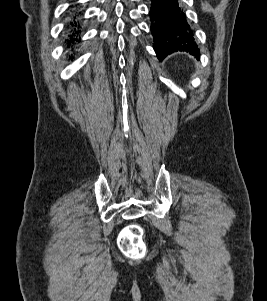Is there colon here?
Returning <instances> with one entry per match:
<instances>
[{"label": "colon", "instance_id": "5ec220e1", "mask_svg": "<svg viewBox=\"0 0 267 301\" xmlns=\"http://www.w3.org/2000/svg\"><path fill=\"white\" fill-rule=\"evenodd\" d=\"M118 243L120 250L129 258L138 259L146 253L143 230L137 224L124 228L119 236Z\"/></svg>", "mask_w": 267, "mask_h": 301}]
</instances>
